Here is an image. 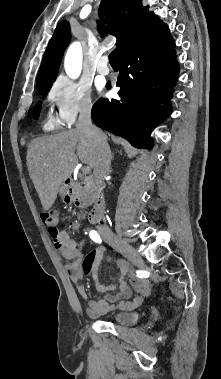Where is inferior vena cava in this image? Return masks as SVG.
<instances>
[{
  "label": "inferior vena cava",
  "instance_id": "1",
  "mask_svg": "<svg viewBox=\"0 0 221 379\" xmlns=\"http://www.w3.org/2000/svg\"><path fill=\"white\" fill-rule=\"evenodd\" d=\"M76 128L92 136L97 142V158L94 167V176L97 184L103 185L111 164V151L104 133L92 124L91 105H85L80 110Z\"/></svg>",
  "mask_w": 221,
  "mask_h": 379
}]
</instances>
